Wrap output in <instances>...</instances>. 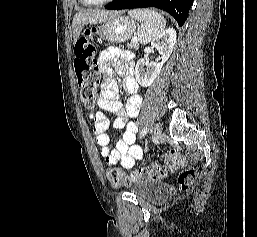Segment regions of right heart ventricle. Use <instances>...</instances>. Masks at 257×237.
<instances>
[{
  "mask_svg": "<svg viewBox=\"0 0 257 237\" xmlns=\"http://www.w3.org/2000/svg\"><path fill=\"white\" fill-rule=\"evenodd\" d=\"M81 2H82L83 4H85V3L83 2V0H81Z\"/></svg>",
  "mask_w": 257,
  "mask_h": 237,
  "instance_id": "right-heart-ventricle-1",
  "label": "right heart ventricle"
}]
</instances>
